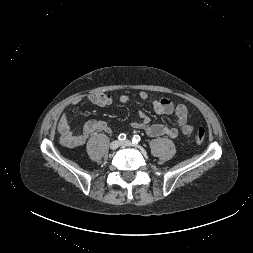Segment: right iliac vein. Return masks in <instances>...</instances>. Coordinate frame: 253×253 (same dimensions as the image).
<instances>
[{
    "mask_svg": "<svg viewBox=\"0 0 253 253\" xmlns=\"http://www.w3.org/2000/svg\"><path fill=\"white\" fill-rule=\"evenodd\" d=\"M119 146H120V142L118 140H115V141L111 142V144H110V148L112 150H116Z\"/></svg>",
    "mask_w": 253,
    "mask_h": 253,
    "instance_id": "63e3f726",
    "label": "right iliac vein"
}]
</instances>
